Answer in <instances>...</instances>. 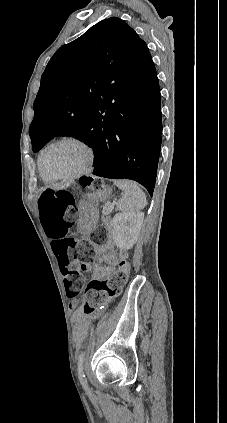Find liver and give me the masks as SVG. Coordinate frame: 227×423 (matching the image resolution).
<instances>
[{
  "mask_svg": "<svg viewBox=\"0 0 227 423\" xmlns=\"http://www.w3.org/2000/svg\"><path fill=\"white\" fill-rule=\"evenodd\" d=\"M69 184H64V182H61V184H53V186H51V188H53V190H64V188H68Z\"/></svg>",
  "mask_w": 227,
  "mask_h": 423,
  "instance_id": "obj_1",
  "label": "liver"
}]
</instances>
